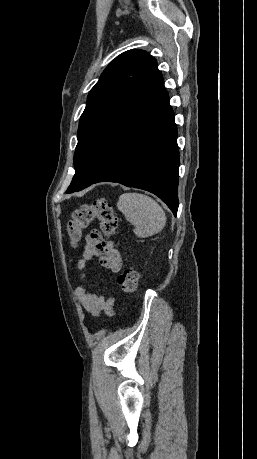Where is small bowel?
<instances>
[{"mask_svg":"<svg viewBox=\"0 0 257 459\" xmlns=\"http://www.w3.org/2000/svg\"><path fill=\"white\" fill-rule=\"evenodd\" d=\"M98 258L100 265L112 273H117L122 267V257L115 248L113 242L101 240L97 232L88 235L83 247L82 257L76 263V271L83 281L88 278V263ZM75 297L83 309L93 316H98L104 312L108 316L116 314L114 310V298H104L89 291L86 286L81 285L75 289Z\"/></svg>","mask_w":257,"mask_h":459,"instance_id":"obj_1","label":"small bowel"}]
</instances>
